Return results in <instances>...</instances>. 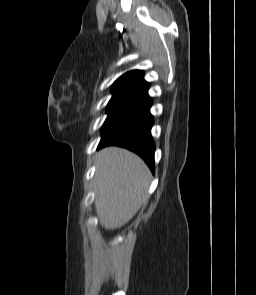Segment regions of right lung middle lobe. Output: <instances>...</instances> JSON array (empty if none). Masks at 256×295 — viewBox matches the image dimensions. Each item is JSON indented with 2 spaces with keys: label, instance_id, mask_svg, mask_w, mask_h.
Returning <instances> with one entry per match:
<instances>
[{
  "label": "right lung middle lobe",
  "instance_id": "obj_1",
  "mask_svg": "<svg viewBox=\"0 0 256 295\" xmlns=\"http://www.w3.org/2000/svg\"><path fill=\"white\" fill-rule=\"evenodd\" d=\"M130 100H119V101H111L107 107V118L102 126V130L109 125L128 105Z\"/></svg>",
  "mask_w": 256,
  "mask_h": 295
}]
</instances>
